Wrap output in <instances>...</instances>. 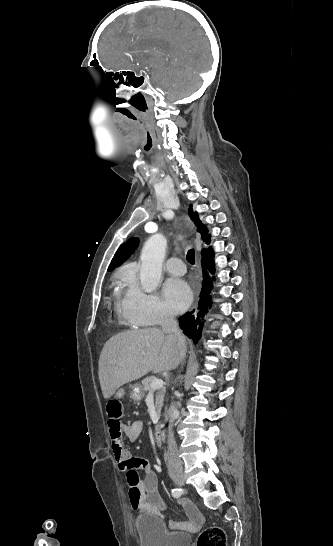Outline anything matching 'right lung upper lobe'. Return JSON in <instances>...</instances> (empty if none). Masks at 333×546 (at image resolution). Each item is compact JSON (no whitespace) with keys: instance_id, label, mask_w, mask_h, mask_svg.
<instances>
[{"instance_id":"obj_1","label":"right lung upper lobe","mask_w":333,"mask_h":546,"mask_svg":"<svg viewBox=\"0 0 333 546\" xmlns=\"http://www.w3.org/2000/svg\"><path fill=\"white\" fill-rule=\"evenodd\" d=\"M188 212H189L190 218L195 222V224L197 226V230L202 234L203 241H205L207 244H209L210 243V235L207 234V231H206L205 227L203 226V224L201 223V221L198 218V214L195 213L191 207L189 208ZM138 242H139L138 238H131V239L127 240V242L122 244L119 247V249L117 250V252L115 253V255H114V257H113V259L111 261V264H110V266L108 268V271L113 270L115 267H118L125 260H127L130 257V255L137 248ZM209 249L210 248L203 249L202 253H205Z\"/></svg>"}]
</instances>
